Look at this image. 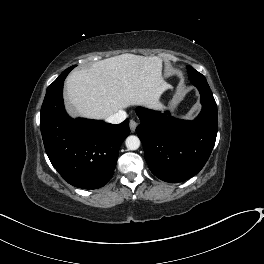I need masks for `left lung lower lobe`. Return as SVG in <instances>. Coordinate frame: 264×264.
Returning <instances> with one entry per match:
<instances>
[{
  "label": "left lung lower lobe",
  "instance_id": "1",
  "mask_svg": "<svg viewBox=\"0 0 264 264\" xmlns=\"http://www.w3.org/2000/svg\"><path fill=\"white\" fill-rule=\"evenodd\" d=\"M190 80L201 95L202 110L195 120H178L168 113L136 109L141 120L136 132L149 169L170 183L196 175L207 162L217 136V105L211 89L205 78Z\"/></svg>",
  "mask_w": 264,
  "mask_h": 264
}]
</instances>
